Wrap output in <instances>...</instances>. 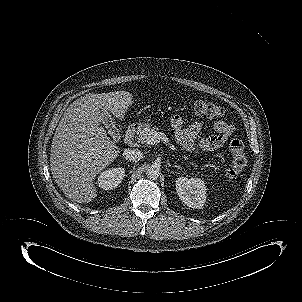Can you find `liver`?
<instances>
[{"label":"liver","instance_id":"obj_1","mask_svg":"<svg viewBox=\"0 0 302 302\" xmlns=\"http://www.w3.org/2000/svg\"><path fill=\"white\" fill-rule=\"evenodd\" d=\"M132 94L115 91L86 94L69 105L61 118L51 145L50 169L66 197L88 203L96 196L93 181L112 163L120 148L102 127L103 112L122 118Z\"/></svg>","mask_w":302,"mask_h":302}]
</instances>
